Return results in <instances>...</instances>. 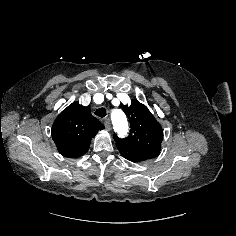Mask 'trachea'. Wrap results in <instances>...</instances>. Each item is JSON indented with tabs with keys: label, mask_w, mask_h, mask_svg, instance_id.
Wrapping results in <instances>:
<instances>
[{
	"label": "trachea",
	"mask_w": 236,
	"mask_h": 236,
	"mask_svg": "<svg viewBox=\"0 0 236 236\" xmlns=\"http://www.w3.org/2000/svg\"><path fill=\"white\" fill-rule=\"evenodd\" d=\"M96 116L100 117V118H103L106 116L107 112H106V109L105 108H99L95 111L94 113Z\"/></svg>",
	"instance_id": "1"
}]
</instances>
